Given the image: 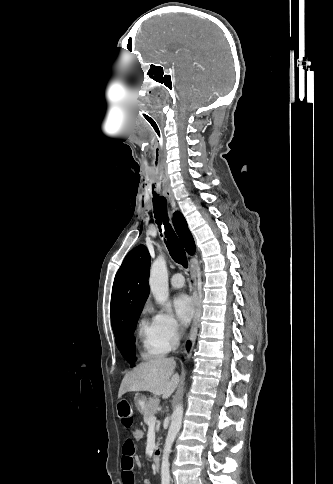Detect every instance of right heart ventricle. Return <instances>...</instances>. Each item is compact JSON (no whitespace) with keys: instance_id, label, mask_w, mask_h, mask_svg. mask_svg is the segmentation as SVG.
Here are the masks:
<instances>
[{"instance_id":"right-heart-ventricle-1","label":"right heart ventricle","mask_w":333,"mask_h":484,"mask_svg":"<svg viewBox=\"0 0 333 484\" xmlns=\"http://www.w3.org/2000/svg\"><path fill=\"white\" fill-rule=\"evenodd\" d=\"M138 337L141 343V354L144 358H156L166 353L159 343L153 321L147 319L139 321Z\"/></svg>"}]
</instances>
